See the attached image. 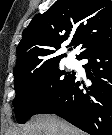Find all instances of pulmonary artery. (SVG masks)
<instances>
[{"label":"pulmonary artery","instance_id":"1","mask_svg":"<svg viewBox=\"0 0 112 135\" xmlns=\"http://www.w3.org/2000/svg\"><path fill=\"white\" fill-rule=\"evenodd\" d=\"M72 63H73V61H72V60H69V61H68L69 66H71V65H72Z\"/></svg>","mask_w":112,"mask_h":135}]
</instances>
